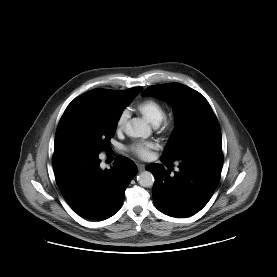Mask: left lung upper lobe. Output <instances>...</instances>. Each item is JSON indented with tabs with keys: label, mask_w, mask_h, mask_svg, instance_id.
I'll list each match as a JSON object with an SVG mask.
<instances>
[{
	"label": "left lung upper lobe",
	"mask_w": 277,
	"mask_h": 277,
	"mask_svg": "<svg viewBox=\"0 0 277 277\" xmlns=\"http://www.w3.org/2000/svg\"><path fill=\"white\" fill-rule=\"evenodd\" d=\"M143 96H157L173 105L176 127L161 160L174 162L207 147L221 146L218 121L211 106L199 92L179 83L154 85Z\"/></svg>",
	"instance_id": "left-lung-upper-lobe-1"
}]
</instances>
